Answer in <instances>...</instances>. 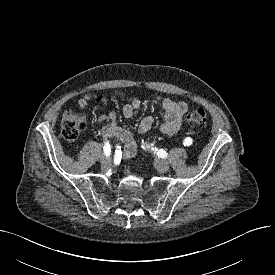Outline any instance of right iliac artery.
I'll return each mask as SVG.
<instances>
[{"label": "right iliac artery", "mask_w": 275, "mask_h": 275, "mask_svg": "<svg viewBox=\"0 0 275 275\" xmlns=\"http://www.w3.org/2000/svg\"><path fill=\"white\" fill-rule=\"evenodd\" d=\"M103 150H104V154L109 157L110 154H111V146L109 144V142H106L104 147H103Z\"/></svg>", "instance_id": "obj_1"}]
</instances>
